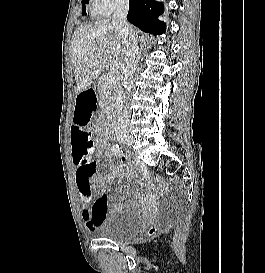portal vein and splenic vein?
<instances>
[{"mask_svg": "<svg viewBox=\"0 0 265 273\" xmlns=\"http://www.w3.org/2000/svg\"><path fill=\"white\" fill-rule=\"evenodd\" d=\"M120 65H121V63L119 61H112L110 63V70L111 71L119 70L120 69Z\"/></svg>", "mask_w": 265, "mask_h": 273, "instance_id": "1", "label": "portal vein and splenic vein"}]
</instances>
